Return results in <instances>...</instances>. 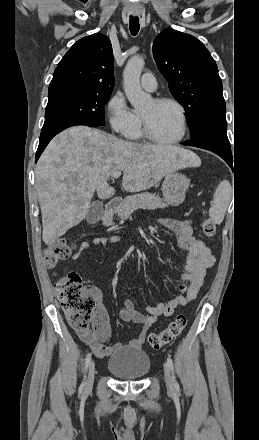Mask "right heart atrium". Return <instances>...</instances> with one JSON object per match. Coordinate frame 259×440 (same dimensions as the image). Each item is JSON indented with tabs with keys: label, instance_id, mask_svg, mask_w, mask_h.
Instances as JSON below:
<instances>
[{
	"label": "right heart atrium",
	"instance_id": "right-heart-atrium-1",
	"mask_svg": "<svg viewBox=\"0 0 259 440\" xmlns=\"http://www.w3.org/2000/svg\"><path fill=\"white\" fill-rule=\"evenodd\" d=\"M105 111L110 128L116 134L128 136L138 122L136 113L128 106L121 92L109 98Z\"/></svg>",
	"mask_w": 259,
	"mask_h": 440
}]
</instances>
